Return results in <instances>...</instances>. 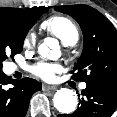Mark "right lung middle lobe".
I'll return each mask as SVG.
<instances>
[{
  "instance_id": "dd1d6c3e",
  "label": "right lung middle lobe",
  "mask_w": 117,
  "mask_h": 117,
  "mask_svg": "<svg viewBox=\"0 0 117 117\" xmlns=\"http://www.w3.org/2000/svg\"><path fill=\"white\" fill-rule=\"evenodd\" d=\"M48 9V7H35L31 12L22 14L0 8V72L2 62L8 55L14 57L21 52L29 29Z\"/></svg>"
}]
</instances>
